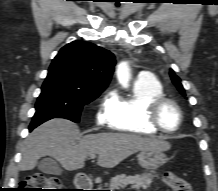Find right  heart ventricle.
<instances>
[{
    "mask_svg": "<svg viewBox=\"0 0 218 191\" xmlns=\"http://www.w3.org/2000/svg\"><path fill=\"white\" fill-rule=\"evenodd\" d=\"M163 96V86L157 79L136 80L132 94L119 98L118 106L109 123L110 127L129 134H157L158 131L147 121V110L153 100Z\"/></svg>",
    "mask_w": 218,
    "mask_h": 191,
    "instance_id": "1",
    "label": "right heart ventricle"
}]
</instances>
